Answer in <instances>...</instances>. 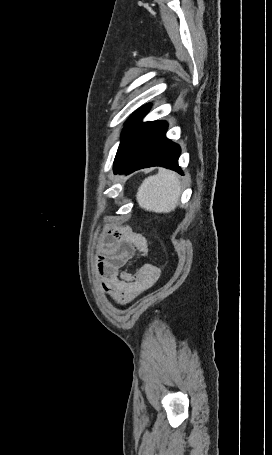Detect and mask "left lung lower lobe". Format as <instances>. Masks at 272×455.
<instances>
[{
  "instance_id": "1",
  "label": "left lung lower lobe",
  "mask_w": 272,
  "mask_h": 455,
  "mask_svg": "<svg viewBox=\"0 0 272 455\" xmlns=\"http://www.w3.org/2000/svg\"><path fill=\"white\" fill-rule=\"evenodd\" d=\"M150 105L141 108L126 124L114 161V173H131L135 170L162 166L182 174L178 166L179 145L167 139L165 121L142 123Z\"/></svg>"
}]
</instances>
